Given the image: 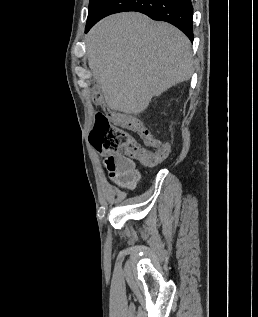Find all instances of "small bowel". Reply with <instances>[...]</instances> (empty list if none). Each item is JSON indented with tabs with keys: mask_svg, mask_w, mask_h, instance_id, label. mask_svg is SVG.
I'll list each match as a JSON object with an SVG mask.
<instances>
[{
	"mask_svg": "<svg viewBox=\"0 0 258 317\" xmlns=\"http://www.w3.org/2000/svg\"><path fill=\"white\" fill-rule=\"evenodd\" d=\"M116 123L136 132L144 143L155 152L163 153L166 159L171 151L170 145L157 137L136 117L120 114ZM105 166L109 176L119 187L123 189H134L139 181V173L135 169L132 160L123 156H110L105 159Z\"/></svg>",
	"mask_w": 258,
	"mask_h": 317,
	"instance_id": "small-bowel-1",
	"label": "small bowel"
}]
</instances>
